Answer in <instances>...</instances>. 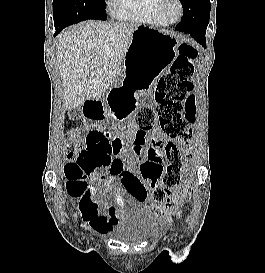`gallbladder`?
Returning <instances> with one entry per match:
<instances>
[{"label": "gallbladder", "instance_id": "gallbladder-1", "mask_svg": "<svg viewBox=\"0 0 265 273\" xmlns=\"http://www.w3.org/2000/svg\"><path fill=\"white\" fill-rule=\"evenodd\" d=\"M69 117L72 119H75L79 116V109L75 108V109H71L68 111Z\"/></svg>", "mask_w": 265, "mask_h": 273}]
</instances>
